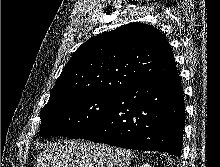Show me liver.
<instances>
[{
  "mask_svg": "<svg viewBox=\"0 0 220 167\" xmlns=\"http://www.w3.org/2000/svg\"><path fill=\"white\" fill-rule=\"evenodd\" d=\"M132 152L85 141L45 144L34 167H129Z\"/></svg>",
  "mask_w": 220,
  "mask_h": 167,
  "instance_id": "6515ba94",
  "label": "liver"
}]
</instances>
